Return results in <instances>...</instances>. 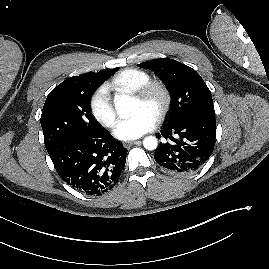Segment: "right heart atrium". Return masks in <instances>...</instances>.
<instances>
[{
    "label": "right heart atrium",
    "mask_w": 269,
    "mask_h": 269,
    "mask_svg": "<svg viewBox=\"0 0 269 269\" xmlns=\"http://www.w3.org/2000/svg\"><path fill=\"white\" fill-rule=\"evenodd\" d=\"M90 110L104 126L113 128L116 125L117 115L106 85H100L91 95Z\"/></svg>",
    "instance_id": "1"
}]
</instances>
